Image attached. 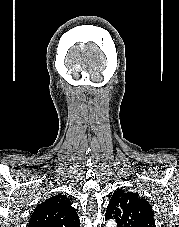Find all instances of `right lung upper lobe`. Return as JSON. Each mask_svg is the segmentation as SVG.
I'll return each instance as SVG.
<instances>
[{
	"label": "right lung upper lobe",
	"instance_id": "obj_1",
	"mask_svg": "<svg viewBox=\"0 0 179 227\" xmlns=\"http://www.w3.org/2000/svg\"><path fill=\"white\" fill-rule=\"evenodd\" d=\"M28 227H80V220L70 200L56 195L35 208Z\"/></svg>",
	"mask_w": 179,
	"mask_h": 227
}]
</instances>
